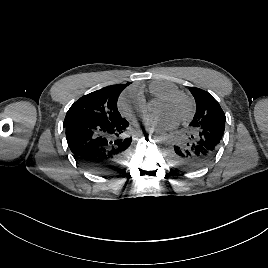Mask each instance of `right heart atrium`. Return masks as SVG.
<instances>
[{"instance_id":"d8ad5b80","label":"right heart atrium","mask_w":268,"mask_h":268,"mask_svg":"<svg viewBox=\"0 0 268 268\" xmlns=\"http://www.w3.org/2000/svg\"><path fill=\"white\" fill-rule=\"evenodd\" d=\"M118 108L121 114L129 119L145 116L148 113V107L142 94L132 88L122 92L118 99Z\"/></svg>"}]
</instances>
